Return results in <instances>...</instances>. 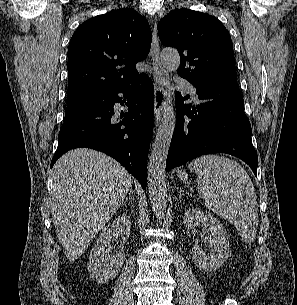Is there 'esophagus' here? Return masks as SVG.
<instances>
[{
  "label": "esophagus",
  "instance_id": "esophagus-1",
  "mask_svg": "<svg viewBox=\"0 0 297 305\" xmlns=\"http://www.w3.org/2000/svg\"><path fill=\"white\" fill-rule=\"evenodd\" d=\"M152 52H153V63L156 71L154 79V119L156 125L159 124L163 110L166 106L167 101L170 98V82L169 75L164 68L160 58V46L157 33V22L155 20L152 27Z\"/></svg>",
  "mask_w": 297,
  "mask_h": 305
}]
</instances>
